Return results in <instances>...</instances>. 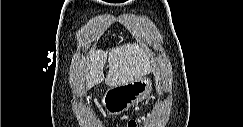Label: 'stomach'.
<instances>
[{
  "label": "stomach",
  "instance_id": "stomach-1",
  "mask_svg": "<svg viewBox=\"0 0 243 127\" xmlns=\"http://www.w3.org/2000/svg\"><path fill=\"white\" fill-rule=\"evenodd\" d=\"M151 91V78L143 76L126 84L110 87L102 97V105L108 114L119 115L147 99Z\"/></svg>",
  "mask_w": 243,
  "mask_h": 127
}]
</instances>
